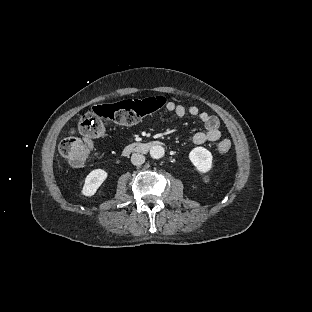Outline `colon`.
I'll return each mask as SVG.
<instances>
[{"label": "colon", "instance_id": "1", "mask_svg": "<svg viewBox=\"0 0 312 312\" xmlns=\"http://www.w3.org/2000/svg\"><path fill=\"white\" fill-rule=\"evenodd\" d=\"M165 103V97L156 96L94 106L81 116L77 126L62 141L61 152L73 166H81L92 149L91 138L103 136L113 125L135 124L155 113ZM231 147V141L224 139L218 143L217 150L227 153Z\"/></svg>", "mask_w": 312, "mask_h": 312}]
</instances>
